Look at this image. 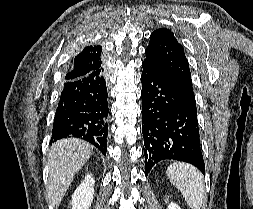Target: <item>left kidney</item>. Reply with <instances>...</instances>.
I'll list each match as a JSON object with an SVG mask.
<instances>
[{
	"mask_svg": "<svg viewBox=\"0 0 253 209\" xmlns=\"http://www.w3.org/2000/svg\"><path fill=\"white\" fill-rule=\"evenodd\" d=\"M167 209H181L176 203H170Z\"/></svg>",
	"mask_w": 253,
	"mask_h": 209,
	"instance_id": "5707ae66",
	"label": "left kidney"
}]
</instances>
